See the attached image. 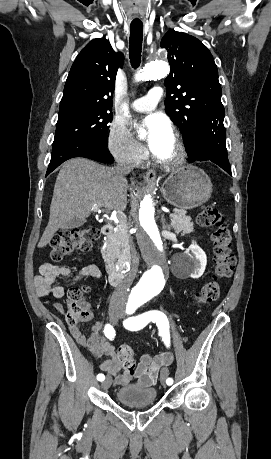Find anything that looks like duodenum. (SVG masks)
<instances>
[{"label": "duodenum", "mask_w": 271, "mask_h": 459, "mask_svg": "<svg viewBox=\"0 0 271 459\" xmlns=\"http://www.w3.org/2000/svg\"><path fill=\"white\" fill-rule=\"evenodd\" d=\"M114 231V227L111 223L103 225L101 232L104 236H110ZM124 275L119 270H112L109 274V280L112 285H119L122 283Z\"/></svg>", "instance_id": "1"}]
</instances>
